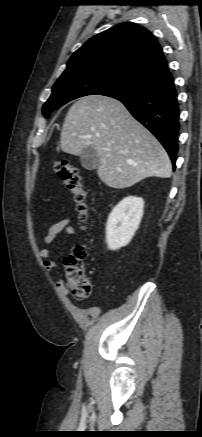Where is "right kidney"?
<instances>
[{
  "instance_id": "right-kidney-1",
  "label": "right kidney",
  "mask_w": 202,
  "mask_h": 437,
  "mask_svg": "<svg viewBox=\"0 0 202 437\" xmlns=\"http://www.w3.org/2000/svg\"><path fill=\"white\" fill-rule=\"evenodd\" d=\"M144 201L128 196L110 213L106 225V242L109 250H118L131 241L143 216Z\"/></svg>"
}]
</instances>
